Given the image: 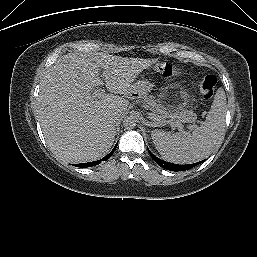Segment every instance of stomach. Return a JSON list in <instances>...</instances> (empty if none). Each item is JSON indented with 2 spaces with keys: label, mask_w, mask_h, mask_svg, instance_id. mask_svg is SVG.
<instances>
[{
  "label": "stomach",
  "mask_w": 257,
  "mask_h": 257,
  "mask_svg": "<svg viewBox=\"0 0 257 257\" xmlns=\"http://www.w3.org/2000/svg\"><path fill=\"white\" fill-rule=\"evenodd\" d=\"M136 93L139 95H146L148 92H150L154 84L151 81L148 80H141L138 81L136 84Z\"/></svg>",
  "instance_id": "obj_1"
}]
</instances>
